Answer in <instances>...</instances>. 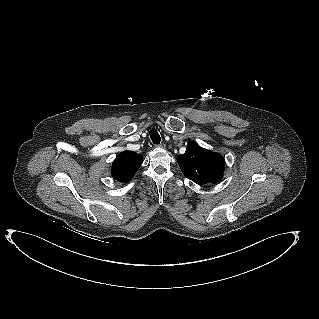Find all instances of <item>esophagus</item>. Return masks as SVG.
I'll return each instance as SVG.
<instances>
[{
  "label": "esophagus",
  "instance_id": "34e87169",
  "mask_svg": "<svg viewBox=\"0 0 319 319\" xmlns=\"http://www.w3.org/2000/svg\"><path fill=\"white\" fill-rule=\"evenodd\" d=\"M156 147L163 149V148H165V144L164 143H160V144L156 145Z\"/></svg>",
  "mask_w": 319,
  "mask_h": 319
}]
</instances>
